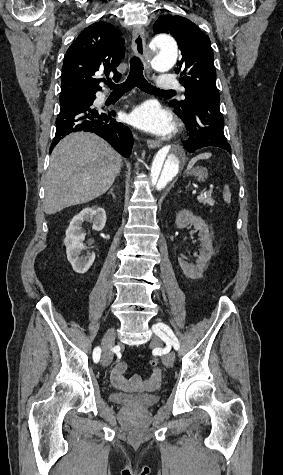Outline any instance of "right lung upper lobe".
<instances>
[{
    "instance_id": "1",
    "label": "right lung upper lobe",
    "mask_w": 283,
    "mask_h": 475,
    "mask_svg": "<svg viewBox=\"0 0 283 475\" xmlns=\"http://www.w3.org/2000/svg\"><path fill=\"white\" fill-rule=\"evenodd\" d=\"M124 50V39L113 25L96 22L88 26L66 52L61 89L96 93L102 89L96 73L120 79L116 67L124 57Z\"/></svg>"
}]
</instances>
